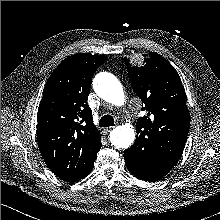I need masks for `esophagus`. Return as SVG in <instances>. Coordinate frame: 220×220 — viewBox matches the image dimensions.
Returning <instances> with one entry per match:
<instances>
[{"label":"esophagus","instance_id":"34e87169","mask_svg":"<svg viewBox=\"0 0 220 220\" xmlns=\"http://www.w3.org/2000/svg\"><path fill=\"white\" fill-rule=\"evenodd\" d=\"M113 128H114V127H112V126L105 128V129H104V133H105V134H108Z\"/></svg>","mask_w":220,"mask_h":220}]
</instances>
